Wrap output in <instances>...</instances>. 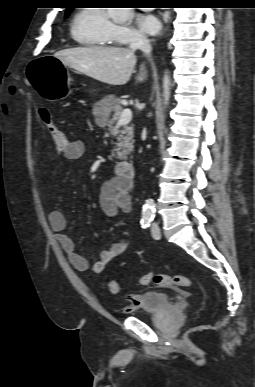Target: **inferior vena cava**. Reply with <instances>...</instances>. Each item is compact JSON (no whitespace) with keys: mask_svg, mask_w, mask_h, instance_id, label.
<instances>
[{"mask_svg":"<svg viewBox=\"0 0 255 387\" xmlns=\"http://www.w3.org/2000/svg\"><path fill=\"white\" fill-rule=\"evenodd\" d=\"M130 48L132 50L140 49L146 56H150L152 50L149 40L141 35L134 38Z\"/></svg>","mask_w":255,"mask_h":387,"instance_id":"602c4592","label":"inferior vena cava"}]
</instances>
